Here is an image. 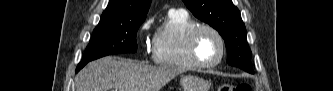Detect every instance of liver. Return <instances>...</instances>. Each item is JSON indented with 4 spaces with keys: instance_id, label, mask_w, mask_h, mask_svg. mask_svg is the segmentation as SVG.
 <instances>
[{
    "instance_id": "obj_1",
    "label": "liver",
    "mask_w": 333,
    "mask_h": 91,
    "mask_svg": "<svg viewBox=\"0 0 333 91\" xmlns=\"http://www.w3.org/2000/svg\"><path fill=\"white\" fill-rule=\"evenodd\" d=\"M180 73L172 67H153L107 56L83 68L75 84L77 91H160Z\"/></svg>"
}]
</instances>
